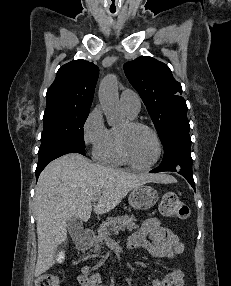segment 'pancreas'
I'll list each match as a JSON object with an SVG mask.
<instances>
[{"label": "pancreas", "instance_id": "obj_1", "mask_svg": "<svg viewBox=\"0 0 231 286\" xmlns=\"http://www.w3.org/2000/svg\"><path fill=\"white\" fill-rule=\"evenodd\" d=\"M135 217L129 215H122L117 217H109L105 222H103L97 229V236L94 238V251L98 252L101 245L106 243L111 235V233H118L128 229L132 231L137 229L138 226L135 224Z\"/></svg>", "mask_w": 231, "mask_h": 286}]
</instances>
